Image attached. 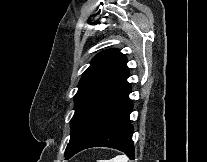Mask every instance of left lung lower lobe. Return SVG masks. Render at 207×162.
I'll return each instance as SVG.
<instances>
[{"label":"left lung lower lobe","instance_id":"1","mask_svg":"<svg viewBox=\"0 0 207 162\" xmlns=\"http://www.w3.org/2000/svg\"><path fill=\"white\" fill-rule=\"evenodd\" d=\"M130 92L127 82L97 108L66 151V160L90 147L114 148L134 159L133 126L129 120L132 111Z\"/></svg>","mask_w":207,"mask_h":162}]
</instances>
